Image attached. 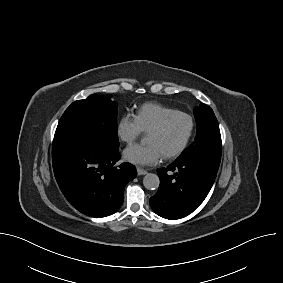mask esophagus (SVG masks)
Masks as SVG:
<instances>
[{
	"instance_id": "1",
	"label": "esophagus",
	"mask_w": 283,
	"mask_h": 283,
	"mask_svg": "<svg viewBox=\"0 0 283 283\" xmlns=\"http://www.w3.org/2000/svg\"><path fill=\"white\" fill-rule=\"evenodd\" d=\"M137 173H138V175H145L147 173V171L142 169V168H137Z\"/></svg>"
}]
</instances>
